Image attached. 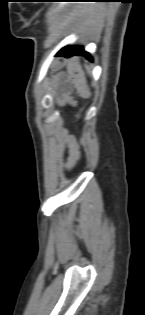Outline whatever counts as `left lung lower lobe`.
Wrapping results in <instances>:
<instances>
[{
  "instance_id": "0a47b994",
  "label": "left lung lower lobe",
  "mask_w": 145,
  "mask_h": 315,
  "mask_svg": "<svg viewBox=\"0 0 145 315\" xmlns=\"http://www.w3.org/2000/svg\"><path fill=\"white\" fill-rule=\"evenodd\" d=\"M62 55L65 57H71L74 55H84L86 56L89 60H92L90 57L89 53L84 51V48L82 46H75V47H64L61 49L58 53L57 56Z\"/></svg>"
}]
</instances>
